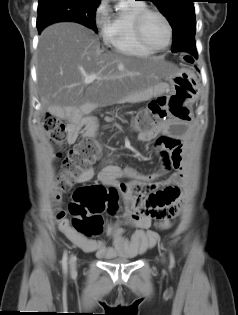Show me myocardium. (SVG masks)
I'll list each match as a JSON object with an SVG mask.
<instances>
[{
    "label": "myocardium",
    "instance_id": "f54148a6",
    "mask_svg": "<svg viewBox=\"0 0 238 315\" xmlns=\"http://www.w3.org/2000/svg\"><path fill=\"white\" fill-rule=\"evenodd\" d=\"M151 14L159 16L164 21V23L167 27L168 40H167V43L162 47H155V46L151 45L144 37V33H143L144 21ZM134 31H135V35H136V38L139 41V43L142 46H144L145 48H147L153 52L163 51V50L167 49L172 43V39H173L172 25H171L169 19L166 17V15L163 14L161 11L156 10V9L146 8V9L142 10L141 12H139L137 14V16L135 17V20H134Z\"/></svg>",
    "mask_w": 238,
    "mask_h": 315
}]
</instances>
